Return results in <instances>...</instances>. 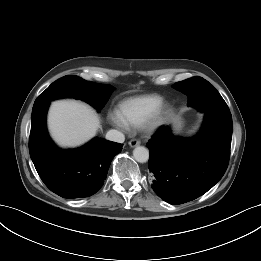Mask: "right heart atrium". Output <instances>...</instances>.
Listing matches in <instances>:
<instances>
[{"mask_svg":"<svg viewBox=\"0 0 261 261\" xmlns=\"http://www.w3.org/2000/svg\"><path fill=\"white\" fill-rule=\"evenodd\" d=\"M110 121L117 127L125 129L127 126L115 114L109 116Z\"/></svg>","mask_w":261,"mask_h":261,"instance_id":"d8ad5b80","label":"right heart atrium"}]
</instances>
